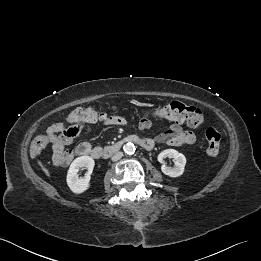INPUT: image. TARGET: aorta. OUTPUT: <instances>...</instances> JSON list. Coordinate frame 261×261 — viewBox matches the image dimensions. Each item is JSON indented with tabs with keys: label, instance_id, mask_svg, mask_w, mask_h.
<instances>
[{
	"label": "aorta",
	"instance_id": "aorta-1",
	"mask_svg": "<svg viewBox=\"0 0 261 261\" xmlns=\"http://www.w3.org/2000/svg\"><path fill=\"white\" fill-rule=\"evenodd\" d=\"M123 150L126 154L131 155L135 153L136 148L133 143L128 142L127 144L124 145Z\"/></svg>",
	"mask_w": 261,
	"mask_h": 261
}]
</instances>
